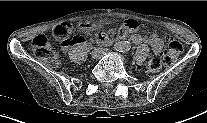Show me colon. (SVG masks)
Listing matches in <instances>:
<instances>
[{"mask_svg":"<svg viewBox=\"0 0 207 123\" xmlns=\"http://www.w3.org/2000/svg\"><path fill=\"white\" fill-rule=\"evenodd\" d=\"M54 36L63 46H70L79 41L72 37L73 26L70 23H61L54 28ZM34 54L50 65L57 64V57L44 34L36 35L32 40ZM183 52V45L174 38H169L168 49L164 55H154L148 62L147 69L151 73L158 72L164 65H172Z\"/></svg>","mask_w":207,"mask_h":123,"instance_id":"obj_1","label":"colon"}]
</instances>
